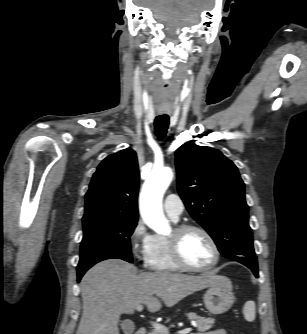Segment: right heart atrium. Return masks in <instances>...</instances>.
<instances>
[{"instance_id":"d8ad5b80","label":"right heart atrium","mask_w":307,"mask_h":334,"mask_svg":"<svg viewBox=\"0 0 307 334\" xmlns=\"http://www.w3.org/2000/svg\"><path fill=\"white\" fill-rule=\"evenodd\" d=\"M154 242V235L148 230L144 221L138 219L129 234L132 255L139 261H146Z\"/></svg>"}]
</instances>
